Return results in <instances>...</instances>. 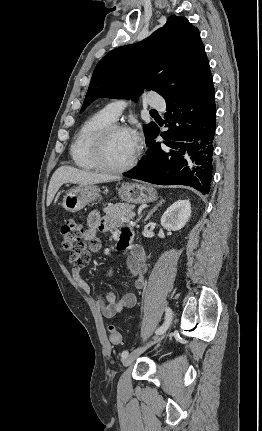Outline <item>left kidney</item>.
I'll return each instance as SVG.
<instances>
[{
	"instance_id": "5707ae66",
	"label": "left kidney",
	"mask_w": 262,
	"mask_h": 431,
	"mask_svg": "<svg viewBox=\"0 0 262 431\" xmlns=\"http://www.w3.org/2000/svg\"><path fill=\"white\" fill-rule=\"evenodd\" d=\"M191 217V204L189 200H178L163 214L161 225L173 231L180 230Z\"/></svg>"
}]
</instances>
